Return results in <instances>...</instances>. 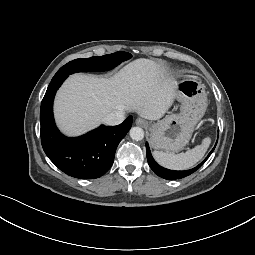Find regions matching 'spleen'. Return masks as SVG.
I'll use <instances>...</instances> for the list:
<instances>
[{
	"mask_svg": "<svg viewBox=\"0 0 255 255\" xmlns=\"http://www.w3.org/2000/svg\"><path fill=\"white\" fill-rule=\"evenodd\" d=\"M210 143L211 139L206 137L202 140L201 145H197L186 153L170 154L163 151H154L153 155L155 160L163 167L173 170H185L193 167L203 158Z\"/></svg>",
	"mask_w": 255,
	"mask_h": 255,
	"instance_id": "3e777b00",
	"label": "spleen"
}]
</instances>
